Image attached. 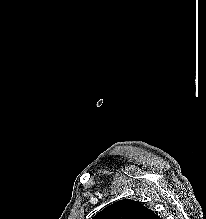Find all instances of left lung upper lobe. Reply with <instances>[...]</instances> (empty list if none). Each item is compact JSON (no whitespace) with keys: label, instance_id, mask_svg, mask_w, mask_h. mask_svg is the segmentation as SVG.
<instances>
[{"label":"left lung upper lobe","instance_id":"left-lung-upper-lobe-1","mask_svg":"<svg viewBox=\"0 0 206 219\" xmlns=\"http://www.w3.org/2000/svg\"><path fill=\"white\" fill-rule=\"evenodd\" d=\"M153 211L140 202L123 199L98 212L92 219H151Z\"/></svg>","mask_w":206,"mask_h":219}]
</instances>
